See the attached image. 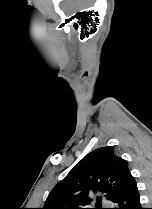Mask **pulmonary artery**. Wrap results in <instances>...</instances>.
<instances>
[{
  "label": "pulmonary artery",
  "instance_id": "obj_1",
  "mask_svg": "<svg viewBox=\"0 0 152 209\" xmlns=\"http://www.w3.org/2000/svg\"><path fill=\"white\" fill-rule=\"evenodd\" d=\"M104 204H109V203H107V201H104Z\"/></svg>",
  "mask_w": 152,
  "mask_h": 209
}]
</instances>
